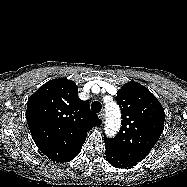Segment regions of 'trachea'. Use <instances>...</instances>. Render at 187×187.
<instances>
[{
  "label": "trachea",
  "instance_id": "trachea-1",
  "mask_svg": "<svg viewBox=\"0 0 187 187\" xmlns=\"http://www.w3.org/2000/svg\"><path fill=\"white\" fill-rule=\"evenodd\" d=\"M91 109L92 111H94L95 113H99L102 109V105L100 102L95 101L91 104Z\"/></svg>",
  "mask_w": 187,
  "mask_h": 187
}]
</instances>
